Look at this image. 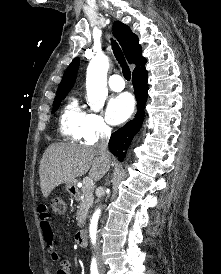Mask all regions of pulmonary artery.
<instances>
[{
	"mask_svg": "<svg viewBox=\"0 0 221 274\" xmlns=\"http://www.w3.org/2000/svg\"><path fill=\"white\" fill-rule=\"evenodd\" d=\"M109 87L116 92L122 91L125 87L123 78L118 74H113L108 80Z\"/></svg>",
	"mask_w": 221,
	"mask_h": 274,
	"instance_id": "pulmonary-artery-1",
	"label": "pulmonary artery"
}]
</instances>
